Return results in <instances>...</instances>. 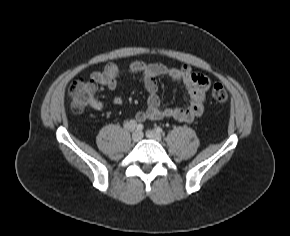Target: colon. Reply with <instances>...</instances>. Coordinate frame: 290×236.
<instances>
[{
    "label": "colon",
    "instance_id": "obj_1",
    "mask_svg": "<svg viewBox=\"0 0 290 236\" xmlns=\"http://www.w3.org/2000/svg\"><path fill=\"white\" fill-rule=\"evenodd\" d=\"M96 86L86 80H77L72 82L68 87V96L71 102V109L75 113H82L95 98ZM210 96L215 102H225L228 99V92L221 84H215Z\"/></svg>",
    "mask_w": 290,
    "mask_h": 236
}]
</instances>
